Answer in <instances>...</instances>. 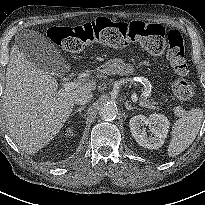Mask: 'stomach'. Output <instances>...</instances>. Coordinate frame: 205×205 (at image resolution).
Wrapping results in <instances>:
<instances>
[{"label":"stomach","mask_w":205,"mask_h":205,"mask_svg":"<svg viewBox=\"0 0 205 205\" xmlns=\"http://www.w3.org/2000/svg\"><path fill=\"white\" fill-rule=\"evenodd\" d=\"M104 70L105 73L109 74L131 75L135 72V66L119 60H111L104 67Z\"/></svg>","instance_id":"obj_1"}]
</instances>
